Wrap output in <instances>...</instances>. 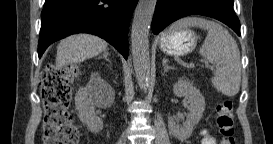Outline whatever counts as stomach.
<instances>
[{"mask_svg": "<svg viewBox=\"0 0 273 144\" xmlns=\"http://www.w3.org/2000/svg\"><path fill=\"white\" fill-rule=\"evenodd\" d=\"M197 40L196 34L190 30H169L161 35L159 47L167 55L183 56L194 50Z\"/></svg>", "mask_w": 273, "mask_h": 144, "instance_id": "1", "label": "stomach"}]
</instances>
